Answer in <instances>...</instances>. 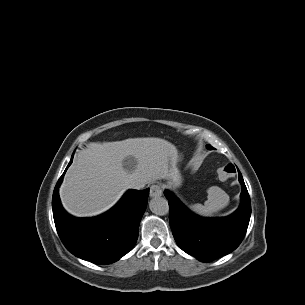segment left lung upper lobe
<instances>
[{"label": "left lung upper lobe", "instance_id": "1", "mask_svg": "<svg viewBox=\"0 0 305 305\" xmlns=\"http://www.w3.org/2000/svg\"><path fill=\"white\" fill-rule=\"evenodd\" d=\"M207 147H208V148H211V146H210V145H208Z\"/></svg>", "mask_w": 305, "mask_h": 305}]
</instances>
